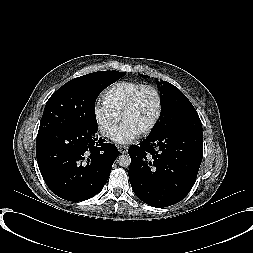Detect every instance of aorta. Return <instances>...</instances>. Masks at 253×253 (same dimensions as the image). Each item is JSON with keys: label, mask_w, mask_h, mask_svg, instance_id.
<instances>
[{"label": "aorta", "mask_w": 253, "mask_h": 253, "mask_svg": "<svg viewBox=\"0 0 253 253\" xmlns=\"http://www.w3.org/2000/svg\"><path fill=\"white\" fill-rule=\"evenodd\" d=\"M117 163L122 167H128L131 164V158L127 154H122L117 158Z\"/></svg>", "instance_id": "1"}]
</instances>
